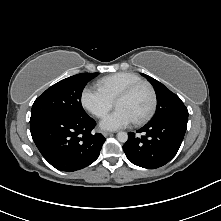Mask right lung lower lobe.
Returning <instances> with one entry per match:
<instances>
[{"label": "right lung lower lobe", "mask_w": 221, "mask_h": 221, "mask_svg": "<svg viewBox=\"0 0 221 221\" xmlns=\"http://www.w3.org/2000/svg\"><path fill=\"white\" fill-rule=\"evenodd\" d=\"M95 125L87 114L30 119L31 135L40 153L53 167L67 172L82 169L98 158L105 138L91 133Z\"/></svg>", "instance_id": "obj_1"}]
</instances>
